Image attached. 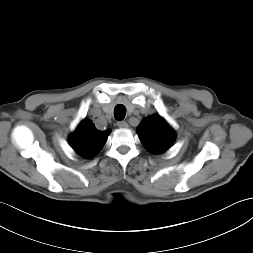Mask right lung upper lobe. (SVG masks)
I'll return each instance as SVG.
<instances>
[{"label": "right lung upper lobe", "mask_w": 253, "mask_h": 253, "mask_svg": "<svg viewBox=\"0 0 253 253\" xmlns=\"http://www.w3.org/2000/svg\"><path fill=\"white\" fill-rule=\"evenodd\" d=\"M108 134L109 131H99L90 120L84 119L69 141L80 156L90 158L103 148Z\"/></svg>", "instance_id": "cb5924a9"}]
</instances>
